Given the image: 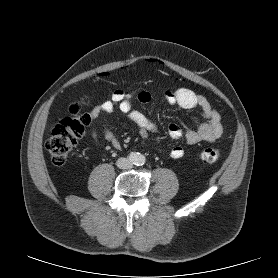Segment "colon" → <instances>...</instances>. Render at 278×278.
Instances as JSON below:
<instances>
[{
	"label": "colon",
	"instance_id": "colon-1",
	"mask_svg": "<svg viewBox=\"0 0 278 278\" xmlns=\"http://www.w3.org/2000/svg\"><path fill=\"white\" fill-rule=\"evenodd\" d=\"M85 105H87L86 99L73 103L69 107V114L61 118L52 129L45 146L55 165H62L66 162L83 136L85 127L90 123V114L83 112ZM220 156V151L213 147L204 148L199 153L200 160L207 164L217 162Z\"/></svg>",
	"mask_w": 278,
	"mask_h": 278
}]
</instances>
